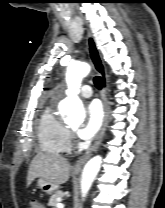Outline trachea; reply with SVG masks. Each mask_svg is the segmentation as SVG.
Returning <instances> with one entry per match:
<instances>
[{"mask_svg": "<svg viewBox=\"0 0 165 208\" xmlns=\"http://www.w3.org/2000/svg\"><path fill=\"white\" fill-rule=\"evenodd\" d=\"M93 81H94L95 86H96L98 89H101V87H102V84H101V77H100V76H96V77H94Z\"/></svg>", "mask_w": 165, "mask_h": 208, "instance_id": "obj_1", "label": "trachea"}]
</instances>
